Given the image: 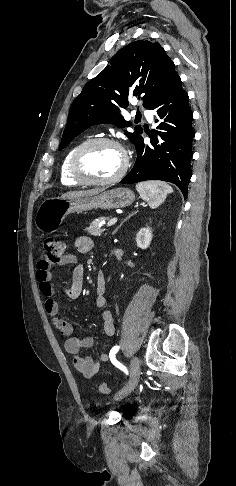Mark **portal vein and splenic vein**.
<instances>
[{"mask_svg": "<svg viewBox=\"0 0 236 486\" xmlns=\"http://www.w3.org/2000/svg\"><path fill=\"white\" fill-rule=\"evenodd\" d=\"M116 222H117V218H113V219H111V220L108 222L107 226H108V227H110V226L114 225Z\"/></svg>", "mask_w": 236, "mask_h": 486, "instance_id": "portal-vein-and-splenic-vein-1", "label": "portal vein and splenic vein"}]
</instances>
